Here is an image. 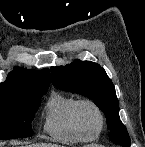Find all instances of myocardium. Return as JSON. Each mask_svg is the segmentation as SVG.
<instances>
[{"instance_id": "f54148a6", "label": "myocardium", "mask_w": 145, "mask_h": 147, "mask_svg": "<svg viewBox=\"0 0 145 147\" xmlns=\"http://www.w3.org/2000/svg\"><path fill=\"white\" fill-rule=\"evenodd\" d=\"M86 109H91L97 117L98 127L95 131V134L99 136L105 126L104 113L95 101L91 99H80L76 107V120L79 127L85 132H89V129L84 120V110Z\"/></svg>"}]
</instances>
